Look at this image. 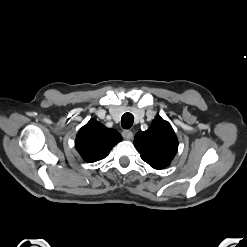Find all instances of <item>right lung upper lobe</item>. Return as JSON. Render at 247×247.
<instances>
[{"mask_svg": "<svg viewBox=\"0 0 247 247\" xmlns=\"http://www.w3.org/2000/svg\"><path fill=\"white\" fill-rule=\"evenodd\" d=\"M121 140L122 137L116 130L90 120L78 132L75 146L81 157L92 163L105 158Z\"/></svg>", "mask_w": 247, "mask_h": 247, "instance_id": "obj_1", "label": "right lung upper lobe"}]
</instances>
